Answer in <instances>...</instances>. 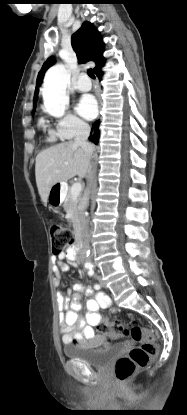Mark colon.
<instances>
[{"label": "colon", "instance_id": "colon-1", "mask_svg": "<svg viewBox=\"0 0 187 415\" xmlns=\"http://www.w3.org/2000/svg\"><path fill=\"white\" fill-rule=\"evenodd\" d=\"M50 236L54 255L64 254L73 246L74 235L72 231L60 223L51 224ZM95 328L102 334L112 337L130 336L134 341L140 343V346L133 348L128 355L117 359L114 371L119 382L128 381L138 369L147 366L159 351V345L155 341L153 331L141 325L138 320H133L129 328L119 320L100 321Z\"/></svg>", "mask_w": 187, "mask_h": 415}]
</instances>
